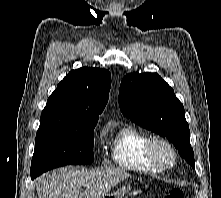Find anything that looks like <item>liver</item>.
<instances>
[{
	"label": "liver",
	"mask_w": 221,
	"mask_h": 198,
	"mask_svg": "<svg viewBox=\"0 0 221 198\" xmlns=\"http://www.w3.org/2000/svg\"><path fill=\"white\" fill-rule=\"evenodd\" d=\"M130 174L121 169L59 168L38 178V198H102ZM82 187L85 191L80 194Z\"/></svg>",
	"instance_id": "liver-1"
}]
</instances>
